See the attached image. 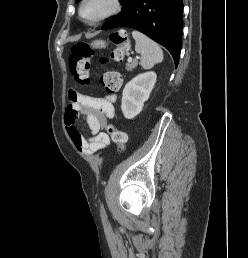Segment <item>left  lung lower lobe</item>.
<instances>
[{"label": "left lung lower lobe", "mask_w": 248, "mask_h": 258, "mask_svg": "<svg viewBox=\"0 0 248 258\" xmlns=\"http://www.w3.org/2000/svg\"><path fill=\"white\" fill-rule=\"evenodd\" d=\"M182 22V0H130L102 29H137L164 46L177 66L182 46Z\"/></svg>", "instance_id": "0a47b994"}]
</instances>
